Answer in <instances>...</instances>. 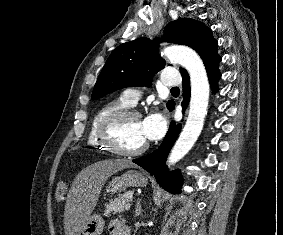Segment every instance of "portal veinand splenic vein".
Masks as SVG:
<instances>
[{"mask_svg": "<svg viewBox=\"0 0 283 235\" xmlns=\"http://www.w3.org/2000/svg\"><path fill=\"white\" fill-rule=\"evenodd\" d=\"M130 207H131V203H128V204L126 205L125 209H126V210H129Z\"/></svg>", "mask_w": 283, "mask_h": 235, "instance_id": "obj_1", "label": "portal vein and splenic vein"}]
</instances>
